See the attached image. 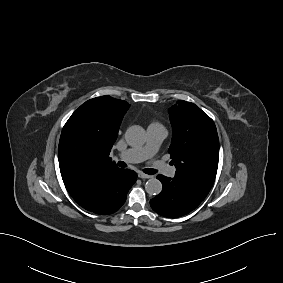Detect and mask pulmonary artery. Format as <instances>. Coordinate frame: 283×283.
<instances>
[{
  "label": "pulmonary artery",
  "instance_id": "pulmonary-artery-1",
  "mask_svg": "<svg viewBox=\"0 0 283 283\" xmlns=\"http://www.w3.org/2000/svg\"><path fill=\"white\" fill-rule=\"evenodd\" d=\"M166 136L167 131L162 125L151 124L147 128L146 145L140 148H130L122 151L118 154V157L126 162L132 163L141 162L151 158L158 151ZM154 165L160 170V172L169 177H173L175 175L176 169L174 167H169L160 161L155 162Z\"/></svg>",
  "mask_w": 283,
  "mask_h": 283
}]
</instances>
